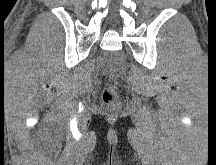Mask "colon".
<instances>
[{
  "mask_svg": "<svg viewBox=\"0 0 216 165\" xmlns=\"http://www.w3.org/2000/svg\"><path fill=\"white\" fill-rule=\"evenodd\" d=\"M117 100L116 86L107 87L103 92V101L107 105L115 104Z\"/></svg>",
  "mask_w": 216,
  "mask_h": 165,
  "instance_id": "obj_1",
  "label": "colon"
}]
</instances>
